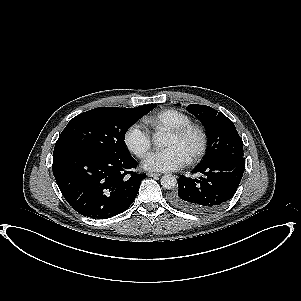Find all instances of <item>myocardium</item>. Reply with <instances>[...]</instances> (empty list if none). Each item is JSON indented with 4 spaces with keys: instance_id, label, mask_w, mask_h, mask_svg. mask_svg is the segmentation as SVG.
<instances>
[{
    "instance_id": "obj_1",
    "label": "myocardium",
    "mask_w": 301,
    "mask_h": 301,
    "mask_svg": "<svg viewBox=\"0 0 301 301\" xmlns=\"http://www.w3.org/2000/svg\"><path fill=\"white\" fill-rule=\"evenodd\" d=\"M194 133L197 136V143L195 148L185 157L186 161H193L200 157L206 147V134L204 130L196 124H190L181 128L166 131V136L174 138H184L189 134Z\"/></svg>"
}]
</instances>
